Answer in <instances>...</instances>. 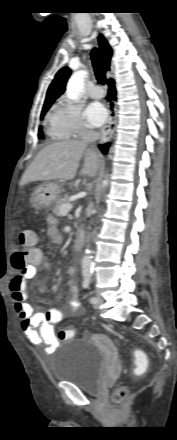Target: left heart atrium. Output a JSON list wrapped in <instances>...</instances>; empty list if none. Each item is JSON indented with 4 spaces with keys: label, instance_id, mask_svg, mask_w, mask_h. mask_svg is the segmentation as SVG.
<instances>
[{
    "label": "left heart atrium",
    "instance_id": "obj_1",
    "mask_svg": "<svg viewBox=\"0 0 177 440\" xmlns=\"http://www.w3.org/2000/svg\"><path fill=\"white\" fill-rule=\"evenodd\" d=\"M85 117L90 125L98 127L105 122L107 112L102 104L94 102L89 104L86 108Z\"/></svg>",
    "mask_w": 177,
    "mask_h": 440
}]
</instances>
